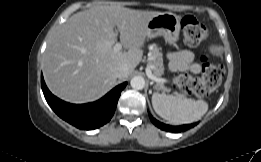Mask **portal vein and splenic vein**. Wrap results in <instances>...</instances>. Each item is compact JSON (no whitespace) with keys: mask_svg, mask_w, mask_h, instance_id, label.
<instances>
[{"mask_svg":"<svg viewBox=\"0 0 261 162\" xmlns=\"http://www.w3.org/2000/svg\"><path fill=\"white\" fill-rule=\"evenodd\" d=\"M115 52H119L122 49V45L121 43H116L113 47ZM146 74L148 76V78H150L151 80L155 81V82H165L166 80L163 78H158L156 76L153 75L152 71H151V67L148 66L146 68Z\"/></svg>","mask_w":261,"mask_h":162,"instance_id":"obj_1","label":"portal vein and splenic vein"}]
</instances>
